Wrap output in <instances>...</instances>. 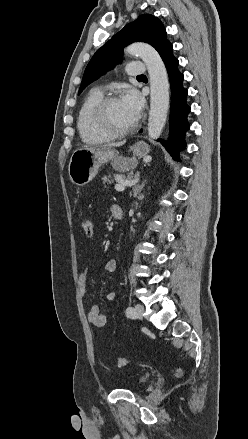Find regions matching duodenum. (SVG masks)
<instances>
[{
  "mask_svg": "<svg viewBox=\"0 0 248 439\" xmlns=\"http://www.w3.org/2000/svg\"><path fill=\"white\" fill-rule=\"evenodd\" d=\"M112 214H113V217H114L115 219H117V220L122 219V218H123V215H124L122 207L119 206V205H116V206L114 207V209H113Z\"/></svg>",
  "mask_w": 248,
  "mask_h": 439,
  "instance_id": "obj_1",
  "label": "duodenum"
}]
</instances>
